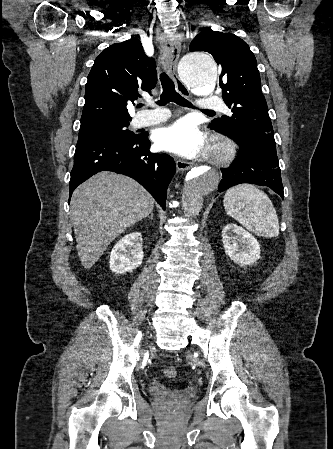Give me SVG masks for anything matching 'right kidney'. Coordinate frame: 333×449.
Segmentation results:
<instances>
[{"mask_svg":"<svg viewBox=\"0 0 333 449\" xmlns=\"http://www.w3.org/2000/svg\"><path fill=\"white\" fill-rule=\"evenodd\" d=\"M143 257L142 235L139 232H132L113 247L110 254V269L116 274L131 272L141 265Z\"/></svg>","mask_w":333,"mask_h":449,"instance_id":"1","label":"right kidney"}]
</instances>
